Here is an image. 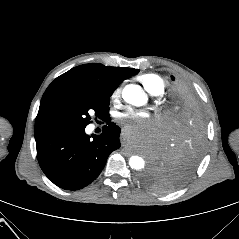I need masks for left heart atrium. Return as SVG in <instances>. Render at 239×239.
Wrapping results in <instances>:
<instances>
[{
	"label": "left heart atrium",
	"instance_id": "1",
	"mask_svg": "<svg viewBox=\"0 0 239 239\" xmlns=\"http://www.w3.org/2000/svg\"><path fill=\"white\" fill-rule=\"evenodd\" d=\"M121 119L132 118L135 119V123H126L125 129L128 132H136L138 130H143L145 132H150L154 128V119L147 116L145 112L130 110L124 114L119 115Z\"/></svg>",
	"mask_w": 239,
	"mask_h": 239
}]
</instances>
